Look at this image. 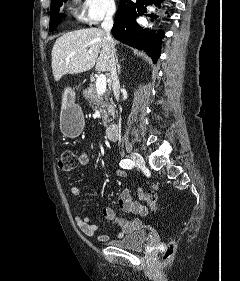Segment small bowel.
I'll return each instance as SVG.
<instances>
[{"label": "small bowel", "instance_id": "c3829d8e", "mask_svg": "<svg viewBox=\"0 0 240 281\" xmlns=\"http://www.w3.org/2000/svg\"><path fill=\"white\" fill-rule=\"evenodd\" d=\"M90 155L87 152H82L78 157L79 166H86L89 164ZM117 175L120 177H126V172L123 169L117 170ZM70 193L75 200L73 205V213L75 216V222L78 228L88 237H95L99 241L107 240L106 235H98L97 232L100 228L98 224L91 223V219L88 216L81 215V189L74 185L70 188ZM118 205L125 213H133L145 217L148 215V209L146 206L138 201L133 200L130 188L123 189L118 196ZM102 215L109 221L117 224L120 227L119 237H123L135 230L142 228L143 221L141 218H135L133 220H126L117 216L115 211L108 207L103 206L101 209Z\"/></svg>", "mask_w": 240, "mask_h": 281}]
</instances>
